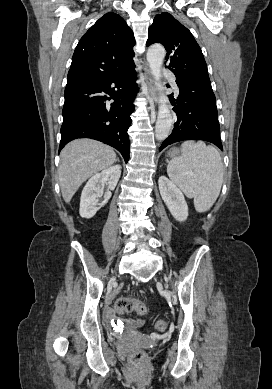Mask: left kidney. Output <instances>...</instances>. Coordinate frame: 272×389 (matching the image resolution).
Returning <instances> with one entry per match:
<instances>
[{
  "mask_svg": "<svg viewBox=\"0 0 272 389\" xmlns=\"http://www.w3.org/2000/svg\"><path fill=\"white\" fill-rule=\"evenodd\" d=\"M161 197L172 216L180 222L188 217V206L182 191L167 177L161 176L158 180Z\"/></svg>",
  "mask_w": 272,
  "mask_h": 389,
  "instance_id": "1",
  "label": "left kidney"
}]
</instances>
